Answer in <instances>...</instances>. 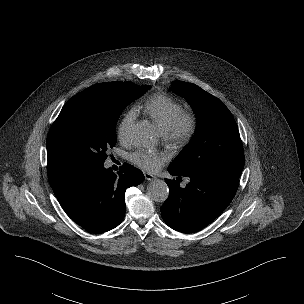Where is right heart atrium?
Returning <instances> with one entry per match:
<instances>
[{
  "label": "right heart atrium",
  "instance_id": "d8ad5b80",
  "mask_svg": "<svg viewBox=\"0 0 304 304\" xmlns=\"http://www.w3.org/2000/svg\"><path fill=\"white\" fill-rule=\"evenodd\" d=\"M136 114L134 111L127 112L121 119L117 135L120 140H126L128 138L129 131L135 121Z\"/></svg>",
  "mask_w": 304,
  "mask_h": 304
}]
</instances>
